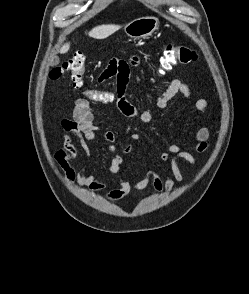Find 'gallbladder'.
I'll use <instances>...</instances> for the list:
<instances>
[{
	"mask_svg": "<svg viewBox=\"0 0 249 294\" xmlns=\"http://www.w3.org/2000/svg\"><path fill=\"white\" fill-rule=\"evenodd\" d=\"M59 63V58H55L53 61H52V66H55Z\"/></svg>",
	"mask_w": 249,
	"mask_h": 294,
	"instance_id": "1",
	"label": "gallbladder"
}]
</instances>
